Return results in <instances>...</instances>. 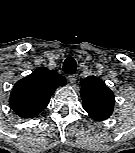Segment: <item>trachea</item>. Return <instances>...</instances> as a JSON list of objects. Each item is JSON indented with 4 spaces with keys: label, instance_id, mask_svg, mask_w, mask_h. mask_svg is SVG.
Segmentation results:
<instances>
[{
    "label": "trachea",
    "instance_id": "obj_1",
    "mask_svg": "<svg viewBox=\"0 0 135 153\" xmlns=\"http://www.w3.org/2000/svg\"><path fill=\"white\" fill-rule=\"evenodd\" d=\"M76 61L73 57H68L64 60V63H63V71L66 73V74H74L75 71H76Z\"/></svg>",
    "mask_w": 135,
    "mask_h": 153
}]
</instances>
